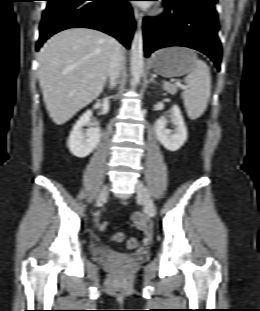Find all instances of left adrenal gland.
<instances>
[{
	"mask_svg": "<svg viewBox=\"0 0 260 311\" xmlns=\"http://www.w3.org/2000/svg\"><path fill=\"white\" fill-rule=\"evenodd\" d=\"M149 82L156 83V81L154 80L152 76L150 77Z\"/></svg>",
	"mask_w": 260,
	"mask_h": 311,
	"instance_id": "a2214340",
	"label": "left adrenal gland"
}]
</instances>
